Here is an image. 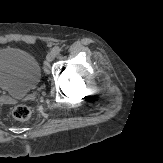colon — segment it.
<instances>
[{"mask_svg":"<svg viewBox=\"0 0 163 163\" xmlns=\"http://www.w3.org/2000/svg\"><path fill=\"white\" fill-rule=\"evenodd\" d=\"M31 116V110L26 105H17L13 109V117L17 120H27Z\"/></svg>","mask_w":163,"mask_h":163,"instance_id":"1","label":"colon"}]
</instances>
